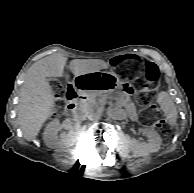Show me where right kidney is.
<instances>
[{
	"instance_id": "ca27d5eb",
	"label": "right kidney",
	"mask_w": 194,
	"mask_h": 193,
	"mask_svg": "<svg viewBox=\"0 0 194 193\" xmlns=\"http://www.w3.org/2000/svg\"><path fill=\"white\" fill-rule=\"evenodd\" d=\"M67 129V133H58L63 129ZM43 139L49 148H68L74 145L76 141V131L71 123L60 124L59 120L54 119L47 124Z\"/></svg>"
}]
</instances>
